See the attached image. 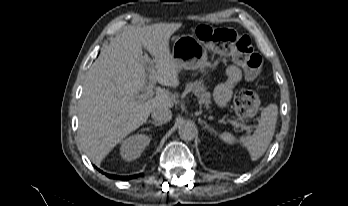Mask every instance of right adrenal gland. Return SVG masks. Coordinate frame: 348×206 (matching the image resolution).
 I'll return each instance as SVG.
<instances>
[{
    "label": "right adrenal gland",
    "mask_w": 348,
    "mask_h": 206,
    "mask_svg": "<svg viewBox=\"0 0 348 206\" xmlns=\"http://www.w3.org/2000/svg\"><path fill=\"white\" fill-rule=\"evenodd\" d=\"M148 123H151V124H153L154 126H160V125H162V124H160V123H158V122H156V121H151V120H149Z\"/></svg>",
    "instance_id": "obj_1"
}]
</instances>
